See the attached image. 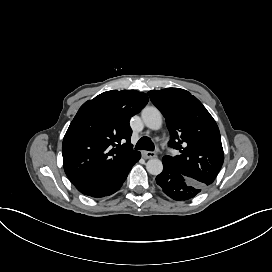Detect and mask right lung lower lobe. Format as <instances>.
Here are the masks:
<instances>
[{
    "label": "right lung lower lobe",
    "instance_id": "obj_1",
    "mask_svg": "<svg viewBox=\"0 0 272 272\" xmlns=\"http://www.w3.org/2000/svg\"><path fill=\"white\" fill-rule=\"evenodd\" d=\"M140 152L128 161L121 163L115 169L98 177L75 184V187L84 195L101 198L109 196L118 191L128 176L132 166L139 161Z\"/></svg>",
    "mask_w": 272,
    "mask_h": 272
}]
</instances>
